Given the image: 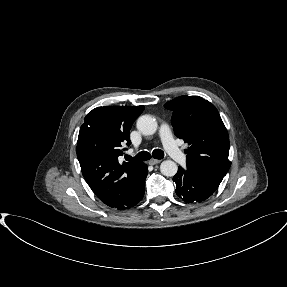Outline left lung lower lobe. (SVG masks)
Masks as SVG:
<instances>
[{"mask_svg":"<svg viewBox=\"0 0 287 287\" xmlns=\"http://www.w3.org/2000/svg\"><path fill=\"white\" fill-rule=\"evenodd\" d=\"M223 178L200 175L178 168L173 177L176 194L185 202H201L209 198L218 188Z\"/></svg>","mask_w":287,"mask_h":287,"instance_id":"left-lung-lower-lobe-1","label":"left lung lower lobe"}]
</instances>
